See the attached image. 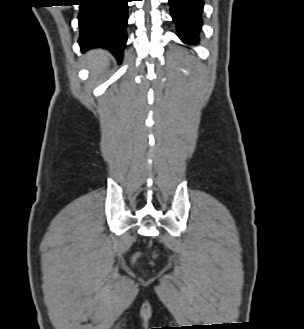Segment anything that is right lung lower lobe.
<instances>
[{"instance_id": "1", "label": "right lung lower lobe", "mask_w": 304, "mask_h": 329, "mask_svg": "<svg viewBox=\"0 0 304 329\" xmlns=\"http://www.w3.org/2000/svg\"><path fill=\"white\" fill-rule=\"evenodd\" d=\"M79 45L82 51L106 48L122 60L126 45L129 0H80Z\"/></svg>"}]
</instances>
